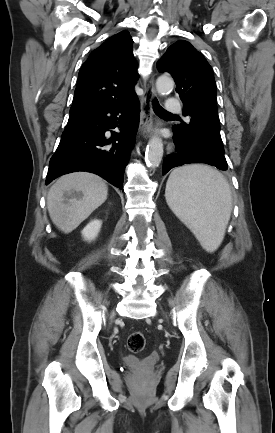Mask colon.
<instances>
[{"label": "colon", "instance_id": "obj_1", "mask_svg": "<svg viewBox=\"0 0 275 433\" xmlns=\"http://www.w3.org/2000/svg\"><path fill=\"white\" fill-rule=\"evenodd\" d=\"M145 335L141 331L132 332L127 338V348L132 353H139L144 349Z\"/></svg>", "mask_w": 275, "mask_h": 433}]
</instances>
